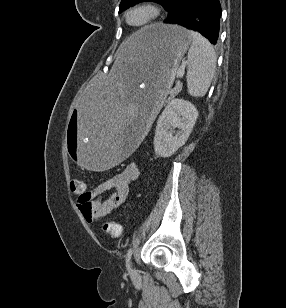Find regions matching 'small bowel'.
<instances>
[{
	"instance_id": "obj_1",
	"label": "small bowel",
	"mask_w": 286,
	"mask_h": 308,
	"mask_svg": "<svg viewBox=\"0 0 286 308\" xmlns=\"http://www.w3.org/2000/svg\"><path fill=\"white\" fill-rule=\"evenodd\" d=\"M138 175V166L129 163L122 171L91 190H87L84 183V190L75 193L78 209L84 219L92 223L118 209L125 202L130 186ZM107 193L110 194L105 197Z\"/></svg>"
}]
</instances>
